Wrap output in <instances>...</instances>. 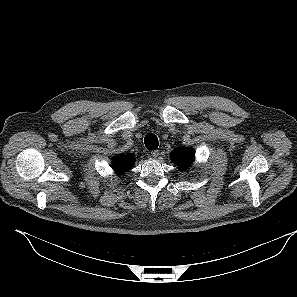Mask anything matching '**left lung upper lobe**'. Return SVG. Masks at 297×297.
I'll list each match as a JSON object with an SVG mask.
<instances>
[{"mask_svg": "<svg viewBox=\"0 0 297 297\" xmlns=\"http://www.w3.org/2000/svg\"><path fill=\"white\" fill-rule=\"evenodd\" d=\"M195 152L193 149H174L171 152V160L178 165L180 169L188 168L194 161Z\"/></svg>", "mask_w": 297, "mask_h": 297, "instance_id": "obj_1", "label": "left lung upper lobe"}]
</instances>
